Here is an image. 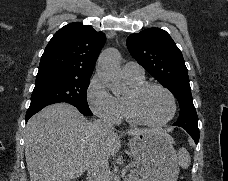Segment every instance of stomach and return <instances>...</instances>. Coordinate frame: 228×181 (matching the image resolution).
I'll use <instances>...</instances> for the list:
<instances>
[{"label": "stomach", "mask_w": 228, "mask_h": 181, "mask_svg": "<svg viewBox=\"0 0 228 181\" xmlns=\"http://www.w3.org/2000/svg\"><path fill=\"white\" fill-rule=\"evenodd\" d=\"M140 181H177L179 161L173 139L165 133H140L129 139Z\"/></svg>", "instance_id": "0dacf381"}]
</instances>
